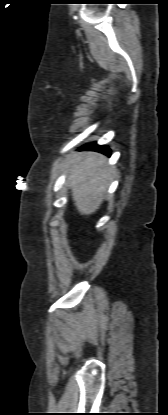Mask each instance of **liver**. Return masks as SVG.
Returning a JSON list of instances; mask_svg holds the SVG:
<instances>
[{
	"mask_svg": "<svg viewBox=\"0 0 168 415\" xmlns=\"http://www.w3.org/2000/svg\"><path fill=\"white\" fill-rule=\"evenodd\" d=\"M105 156L98 153H76L68 159V182L74 205L82 215L96 212L105 196L112 174Z\"/></svg>",
	"mask_w": 168,
	"mask_h": 415,
	"instance_id": "obj_1",
	"label": "liver"
}]
</instances>
